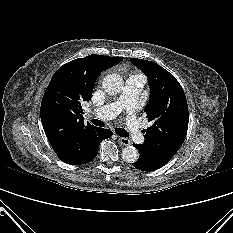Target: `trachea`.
I'll list each match as a JSON object with an SVG mask.
<instances>
[{
  "mask_svg": "<svg viewBox=\"0 0 233 233\" xmlns=\"http://www.w3.org/2000/svg\"><path fill=\"white\" fill-rule=\"evenodd\" d=\"M91 122L96 126H100V127L104 126V122H102L98 119H93V120H91ZM115 131L121 137H128L129 136L128 132L123 128H116Z\"/></svg>",
  "mask_w": 233,
  "mask_h": 233,
  "instance_id": "1",
  "label": "trachea"
}]
</instances>
